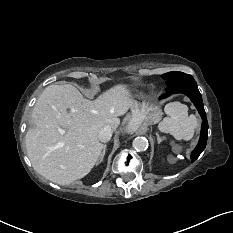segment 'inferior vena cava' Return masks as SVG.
<instances>
[{"instance_id":"602c4592","label":"inferior vena cava","mask_w":233,"mask_h":233,"mask_svg":"<svg viewBox=\"0 0 233 233\" xmlns=\"http://www.w3.org/2000/svg\"><path fill=\"white\" fill-rule=\"evenodd\" d=\"M98 136L101 142H108L112 137V129L109 126H105L103 129L100 130Z\"/></svg>"}]
</instances>
